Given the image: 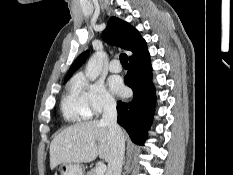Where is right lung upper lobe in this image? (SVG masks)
I'll return each instance as SVG.
<instances>
[{"label":"right lung upper lobe","mask_w":233,"mask_h":175,"mask_svg":"<svg viewBox=\"0 0 233 175\" xmlns=\"http://www.w3.org/2000/svg\"><path fill=\"white\" fill-rule=\"evenodd\" d=\"M102 38L109 44L120 46L129 50L133 55L129 58H135L147 51L145 40L141 37L138 30L119 18L111 17L108 25L102 33ZM88 51L82 53L71 65L65 80H68L74 71H76L86 60Z\"/></svg>","instance_id":"cb5924a9"}]
</instances>
